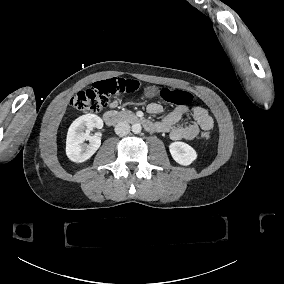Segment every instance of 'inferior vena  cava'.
<instances>
[{"label":"inferior vena cava","instance_id":"inferior-vena-cava-1","mask_svg":"<svg viewBox=\"0 0 284 284\" xmlns=\"http://www.w3.org/2000/svg\"><path fill=\"white\" fill-rule=\"evenodd\" d=\"M130 132V125L127 122H119L115 126V133L120 136H125Z\"/></svg>","mask_w":284,"mask_h":284}]
</instances>
